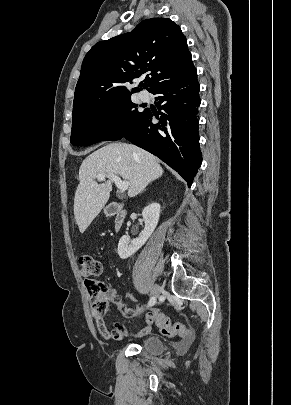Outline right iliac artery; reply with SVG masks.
<instances>
[{
	"label": "right iliac artery",
	"mask_w": 291,
	"mask_h": 405,
	"mask_svg": "<svg viewBox=\"0 0 291 405\" xmlns=\"http://www.w3.org/2000/svg\"><path fill=\"white\" fill-rule=\"evenodd\" d=\"M155 302H156L155 298H154V297H151L150 300H149V302H148V306L154 305Z\"/></svg>",
	"instance_id": "82829eb1"
}]
</instances>
